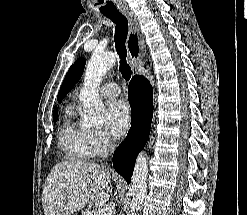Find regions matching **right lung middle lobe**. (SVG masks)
Returning <instances> with one entry per match:
<instances>
[{"instance_id": "dd1d6c3e", "label": "right lung middle lobe", "mask_w": 247, "mask_h": 215, "mask_svg": "<svg viewBox=\"0 0 247 215\" xmlns=\"http://www.w3.org/2000/svg\"><path fill=\"white\" fill-rule=\"evenodd\" d=\"M53 120H54V122L57 121V113L56 114H53Z\"/></svg>"}]
</instances>
